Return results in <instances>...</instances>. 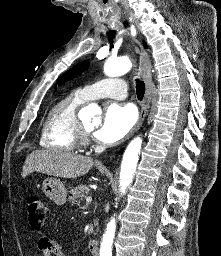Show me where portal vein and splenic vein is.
Returning <instances> with one entry per match:
<instances>
[{
  "mask_svg": "<svg viewBox=\"0 0 221 256\" xmlns=\"http://www.w3.org/2000/svg\"><path fill=\"white\" fill-rule=\"evenodd\" d=\"M92 202V198L90 196H88L86 198V205L90 204Z\"/></svg>",
  "mask_w": 221,
  "mask_h": 256,
  "instance_id": "1",
  "label": "portal vein and splenic vein"
}]
</instances>
